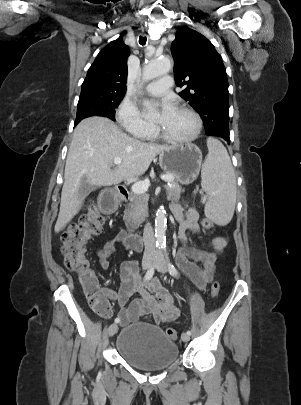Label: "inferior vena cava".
<instances>
[{"label": "inferior vena cava", "instance_id": "obj_1", "mask_svg": "<svg viewBox=\"0 0 301 405\" xmlns=\"http://www.w3.org/2000/svg\"><path fill=\"white\" fill-rule=\"evenodd\" d=\"M143 241L145 246V254H153L156 251L154 231L151 224L146 223L143 231Z\"/></svg>", "mask_w": 301, "mask_h": 405}]
</instances>
